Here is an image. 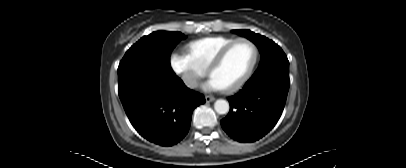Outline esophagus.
Wrapping results in <instances>:
<instances>
[{
    "instance_id": "esophagus-1",
    "label": "esophagus",
    "mask_w": 406,
    "mask_h": 168,
    "mask_svg": "<svg viewBox=\"0 0 406 168\" xmlns=\"http://www.w3.org/2000/svg\"><path fill=\"white\" fill-rule=\"evenodd\" d=\"M205 100H206L207 102H212V101L215 100V97H214V96H209V95H207V96H205Z\"/></svg>"
}]
</instances>
